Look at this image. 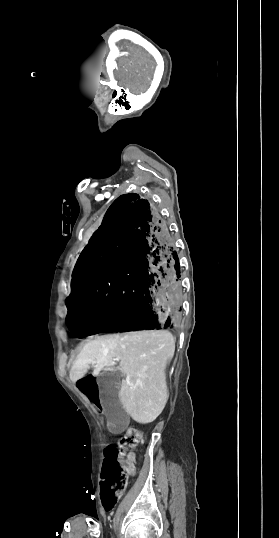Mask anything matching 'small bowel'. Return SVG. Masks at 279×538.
<instances>
[{"label": "small bowel", "mask_w": 279, "mask_h": 538, "mask_svg": "<svg viewBox=\"0 0 279 538\" xmlns=\"http://www.w3.org/2000/svg\"><path fill=\"white\" fill-rule=\"evenodd\" d=\"M124 468L130 471L131 475L135 472L136 456L134 453H129L124 460H122Z\"/></svg>", "instance_id": "small-bowel-1"}]
</instances>
